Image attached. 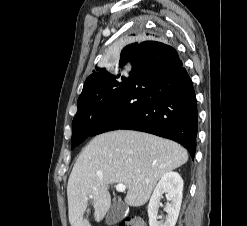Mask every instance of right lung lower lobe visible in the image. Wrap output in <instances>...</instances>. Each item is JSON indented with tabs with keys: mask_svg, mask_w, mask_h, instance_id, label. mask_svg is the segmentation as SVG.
Segmentation results:
<instances>
[{
	"mask_svg": "<svg viewBox=\"0 0 247 226\" xmlns=\"http://www.w3.org/2000/svg\"><path fill=\"white\" fill-rule=\"evenodd\" d=\"M131 61L129 77L91 136L117 129L148 132L180 143L194 158L196 96L177 51L147 40L137 45Z\"/></svg>",
	"mask_w": 247,
	"mask_h": 226,
	"instance_id": "1",
	"label": "right lung lower lobe"
}]
</instances>
